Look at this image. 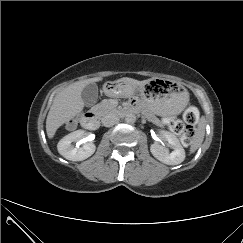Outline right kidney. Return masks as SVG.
I'll return each mask as SVG.
<instances>
[{
    "instance_id": "obj_1",
    "label": "right kidney",
    "mask_w": 243,
    "mask_h": 243,
    "mask_svg": "<svg viewBox=\"0 0 243 243\" xmlns=\"http://www.w3.org/2000/svg\"><path fill=\"white\" fill-rule=\"evenodd\" d=\"M86 133L83 130L74 131L63 137L58 145V152L67 160L82 161L90 157L96 149L92 142H83ZM72 143H76L74 147ZM84 143L82 146L80 144Z\"/></svg>"
}]
</instances>
